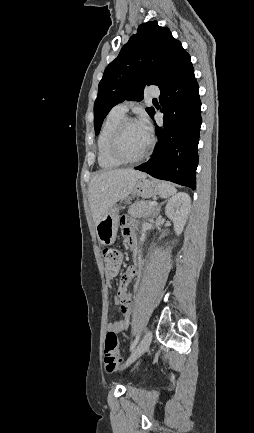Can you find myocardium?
Wrapping results in <instances>:
<instances>
[{
  "label": "myocardium",
  "mask_w": 254,
  "mask_h": 433,
  "mask_svg": "<svg viewBox=\"0 0 254 433\" xmlns=\"http://www.w3.org/2000/svg\"><path fill=\"white\" fill-rule=\"evenodd\" d=\"M130 122H136V119L132 117H124L116 126L110 139V144H109L110 154L115 160H117L121 164H132L143 160L148 155V153L150 152L154 144L153 137L149 135L148 144L140 155H138L135 158L126 157L120 149V138L125 126Z\"/></svg>",
  "instance_id": "f54148a6"
}]
</instances>
